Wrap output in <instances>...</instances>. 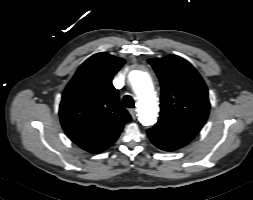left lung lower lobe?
<instances>
[{
  "mask_svg": "<svg viewBox=\"0 0 253 200\" xmlns=\"http://www.w3.org/2000/svg\"><path fill=\"white\" fill-rule=\"evenodd\" d=\"M151 142L164 151H175L186 146L196 133L156 124L147 130Z\"/></svg>",
  "mask_w": 253,
  "mask_h": 200,
  "instance_id": "obj_1",
  "label": "left lung lower lobe"
}]
</instances>
